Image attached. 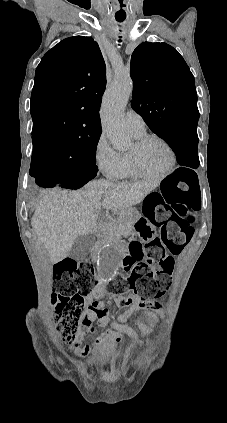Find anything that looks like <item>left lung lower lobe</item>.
<instances>
[{
  "instance_id": "left-lung-lower-lobe-1",
  "label": "left lung lower lobe",
  "mask_w": 227,
  "mask_h": 423,
  "mask_svg": "<svg viewBox=\"0 0 227 423\" xmlns=\"http://www.w3.org/2000/svg\"><path fill=\"white\" fill-rule=\"evenodd\" d=\"M172 150L175 152L177 162L180 165L190 168H197L199 166L198 158V136L188 135L183 137L173 138L168 142ZM193 175L196 173L188 168H179L175 171L174 175Z\"/></svg>"
}]
</instances>
